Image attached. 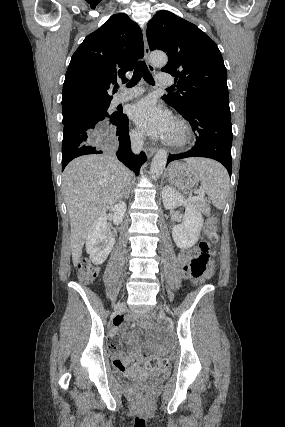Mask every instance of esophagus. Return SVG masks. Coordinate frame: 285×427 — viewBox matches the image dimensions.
<instances>
[{"label": "esophagus", "instance_id": "34e87169", "mask_svg": "<svg viewBox=\"0 0 285 427\" xmlns=\"http://www.w3.org/2000/svg\"><path fill=\"white\" fill-rule=\"evenodd\" d=\"M143 41H144V54H145V59H146V62H147V66H148V68H149V70L151 72H155V67L149 61L150 49H149V46H148V42H147L145 30L143 31ZM145 152H146V155L148 157H151L156 152V148L152 147V146H148L146 148Z\"/></svg>", "mask_w": 285, "mask_h": 427}]
</instances>
